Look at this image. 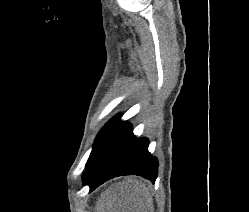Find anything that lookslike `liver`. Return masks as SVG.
Masks as SVG:
<instances>
[{
  "mask_svg": "<svg viewBox=\"0 0 249 212\" xmlns=\"http://www.w3.org/2000/svg\"><path fill=\"white\" fill-rule=\"evenodd\" d=\"M97 212H154L149 190L136 176L112 184L98 198Z\"/></svg>",
  "mask_w": 249,
  "mask_h": 212,
  "instance_id": "1",
  "label": "liver"
}]
</instances>
